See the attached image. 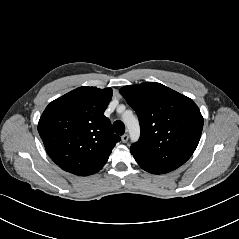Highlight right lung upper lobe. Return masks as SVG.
Returning <instances> with one entry per match:
<instances>
[{
	"label": "right lung upper lobe",
	"mask_w": 239,
	"mask_h": 239,
	"mask_svg": "<svg viewBox=\"0 0 239 239\" xmlns=\"http://www.w3.org/2000/svg\"><path fill=\"white\" fill-rule=\"evenodd\" d=\"M111 98V88L79 87L46 107L38 132L48 155L61 169L86 176L106 164L120 141L104 116Z\"/></svg>",
	"instance_id": "right-lung-upper-lobe-1"
}]
</instances>
